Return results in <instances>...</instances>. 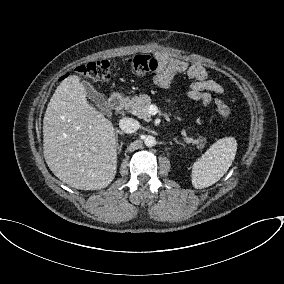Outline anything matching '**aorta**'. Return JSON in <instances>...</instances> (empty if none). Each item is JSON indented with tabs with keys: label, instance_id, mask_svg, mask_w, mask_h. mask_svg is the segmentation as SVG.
<instances>
[{
	"label": "aorta",
	"instance_id": "obj_1",
	"mask_svg": "<svg viewBox=\"0 0 284 284\" xmlns=\"http://www.w3.org/2000/svg\"><path fill=\"white\" fill-rule=\"evenodd\" d=\"M144 144L147 147H153L156 145V139L154 136L148 135L144 138Z\"/></svg>",
	"mask_w": 284,
	"mask_h": 284
}]
</instances>
